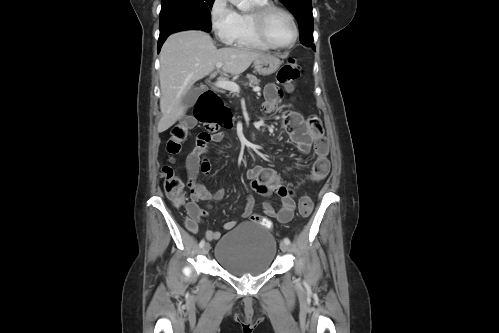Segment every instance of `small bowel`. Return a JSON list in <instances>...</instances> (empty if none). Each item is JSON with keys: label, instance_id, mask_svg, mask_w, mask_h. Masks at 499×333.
<instances>
[{"label": "small bowel", "instance_id": "obj_1", "mask_svg": "<svg viewBox=\"0 0 499 333\" xmlns=\"http://www.w3.org/2000/svg\"><path fill=\"white\" fill-rule=\"evenodd\" d=\"M265 101L262 109L271 113L280 103L283 93L274 83L267 84L264 90ZM284 127L302 154L313 153L315 160L312 165L310 179L314 182L323 180L329 173L330 162L328 159V143L324 137L321 121L317 117L304 118L300 113L288 111L283 117ZM223 139L222 132L200 133L194 150L189 154L186 161L187 186L190 190V201L187 204L188 211L197 210L199 215H205V210L198 205L199 201H218L222 199L224 190L210 191L199 180L201 174L208 175L211 164L207 158L209 144L219 142ZM253 191L267 198L263 204V212L266 216L276 218L280 223H287L293 218L295 210L294 191L281 182L276 173L267 167L255 165L246 172ZM272 195H278L281 200L280 208L276 210L270 201ZM255 206L254 199L248 195L245 209L242 213L244 218H249ZM237 225L236 221H229L223 225L224 230H230ZM192 231L197 226L190 227ZM206 236L209 240H218L221 236L219 231L208 230Z\"/></svg>", "mask_w": 499, "mask_h": 333}]
</instances>
